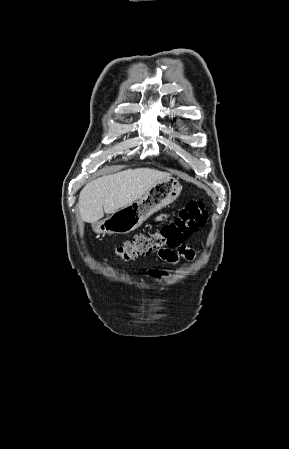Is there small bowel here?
<instances>
[{"label": "small bowel", "mask_w": 289, "mask_h": 449, "mask_svg": "<svg viewBox=\"0 0 289 449\" xmlns=\"http://www.w3.org/2000/svg\"><path fill=\"white\" fill-rule=\"evenodd\" d=\"M158 255L163 261L169 264H177L181 258L192 260L195 256L194 251L185 245H181L174 249H160Z\"/></svg>", "instance_id": "obj_1"}]
</instances>
